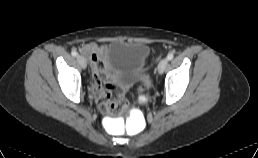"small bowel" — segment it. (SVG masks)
I'll use <instances>...</instances> for the list:
<instances>
[{"instance_id":"1","label":"small bowel","mask_w":258,"mask_h":158,"mask_svg":"<svg viewBox=\"0 0 258 158\" xmlns=\"http://www.w3.org/2000/svg\"><path fill=\"white\" fill-rule=\"evenodd\" d=\"M107 45H101L94 42L85 43L81 47V52L90 58L93 69V82L91 90L97 98L102 108L103 104L109 101L114 93H118L123 98L126 87H117L115 79L105 70V52Z\"/></svg>"}]
</instances>
